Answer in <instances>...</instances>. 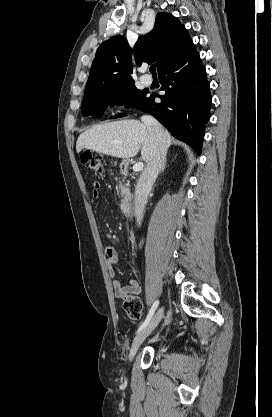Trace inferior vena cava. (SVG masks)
Here are the masks:
<instances>
[{
  "instance_id": "inferior-vena-cava-1",
  "label": "inferior vena cava",
  "mask_w": 272,
  "mask_h": 417,
  "mask_svg": "<svg viewBox=\"0 0 272 417\" xmlns=\"http://www.w3.org/2000/svg\"><path fill=\"white\" fill-rule=\"evenodd\" d=\"M142 122L150 133L151 155L146 168L142 172L135 188L134 211L137 224L140 226L143 220L144 208L148 194L159 174L166 158L167 147L164 137V129L160 123L150 115L141 117Z\"/></svg>"
}]
</instances>
